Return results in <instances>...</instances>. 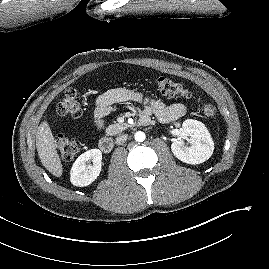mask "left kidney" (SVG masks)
Here are the masks:
<instances>
[{
	"label": "left kidney",
	"instance_id": "obj_1",
	"mask_svg": "<svg viewBox=\"0 0 269 269\" xmlns=\"http://www.w3.org/2000/svg\"><path fill=\"white\" fill-rule=\"evenodd\" d=\"M181 135L190 137V145L182 140H175L171 149L176 158L187 164H201L208 160L214 151V143L205 125L200 121L188 119L182 124Z\"/></svg>",
	"mask_w": 269,
	"mask_h": 269
}]
</instances>
